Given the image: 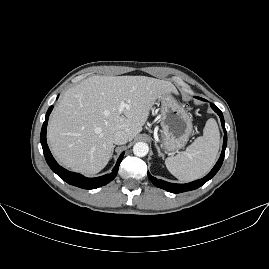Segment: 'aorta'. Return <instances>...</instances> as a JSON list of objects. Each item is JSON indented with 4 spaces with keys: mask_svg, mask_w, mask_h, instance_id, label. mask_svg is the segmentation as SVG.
I'll list each match as a JSON object with an SVG mask.
<instances>
[{
    "mask_svg": "<svg viewBox=\"0 0 269 269\" xmlns=\"http://www.w3.org/2000/svg\"><path fill=\"white\" fill-rule=\"evenodd\" d=\"M149 147L147 143L137 142L133 147V153L138 157H144L147 155Z\"/></svg>",
    "mask_w": 269,
    "mask_h": 269,
    "instance_id": "obj_1",
    "label": "aorta"
}]
</instances>
